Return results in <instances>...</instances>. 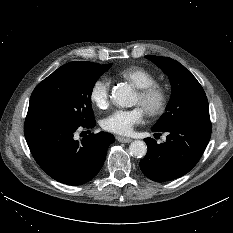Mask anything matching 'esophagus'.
Segmentation results:
<instances>
[{
  "label": "esophagus",
  "instance_id": "1",
  "mask_svg": "<svg viewBox=\"0 0 233 233\" xmlns=\"http://www.w3.org/2000/svg\"><path fill=\"white\" fill-rule=\"evenodd\" d=\"M116 139L122 143H130L132 141L131 138L122 137V136H117Z\"/></svg>",
  "mask_w": 233,
  "mask_h": 233
}]
</instances>
